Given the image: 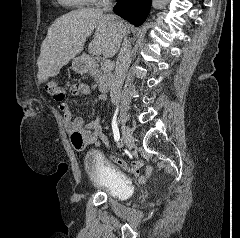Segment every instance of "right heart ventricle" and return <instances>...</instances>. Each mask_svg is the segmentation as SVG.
<instances>
[{
	"mask_svg": "<svg viewBox=\"0 0 240 238\" xmlns=\"http://www.w3.org/2000/svg\"><path fill=\"white\" fill-rule=\"evenodd\" d=\"M58 2L69 8H82L91 3V0H58Z\"/></svg>",
	"mask_w": 240,
	"mask_h": 238,
	"instance_id": "right-heart-ventricle-1",
	"label": "right heart ventricle"
}]
</instances>
